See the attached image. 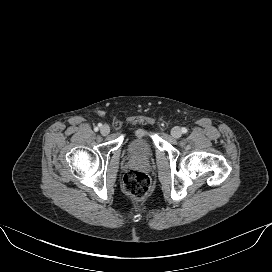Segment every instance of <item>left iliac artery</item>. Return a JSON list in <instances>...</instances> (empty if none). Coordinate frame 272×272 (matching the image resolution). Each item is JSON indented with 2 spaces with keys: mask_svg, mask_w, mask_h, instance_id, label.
<instances>
[{
  "mask_svg": "<svg viewBox=\"0 0 272 272\" xmlns=\"http://www.w3.org/2000/svg\"><path fill=\"white\" fill-rule=\"evenodd\" d=\"M182 132H183V133H187V128L183 127V128H182Z\"/></svg>",
  "mask_w": 272,
  "mask_h": 272,
  "instance_id": "44dca946",
  "label": "left iliac artery"
}]
</instances>
